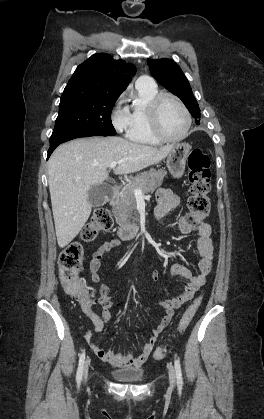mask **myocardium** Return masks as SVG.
I'll use <instances>...</instances> for the list:
<instances>
[{
    "label": "myocardium",
    "mask_w": 264,
    "mask_h": 419,
    "mask_svg": "<svg viewBox=\"0 0 264 419\" xmlns=\"http://www.w3.org/2000/svg\"><path fill=\"white\" fill-rule=\"evenodd\" d=\"M165 99H171L173 100L183 111L186 119V124L184 131L181 135L177 137H169L167 136L162 128L160 123V107L162 102ZM148 114H149V122L150 127L153 135L156 139H158L161 142H167V143H175L179 142L183 139H185L190 131L191 124H192V118L191 114L184 104V102L176 95L169 93V92H159L157 93L150 101L148 106Z\"/></svg>",
    "instance_id": "obj_1"
}]
</instances>
